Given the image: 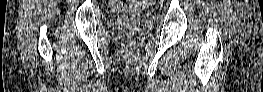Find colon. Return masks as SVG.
I'll return each mask as SVG.
<instances>
[{"label":"colon","instance_id":"5ec220e1","mask_svg":"<svg viewBox=\"0 0 263 92\" xmlns=\"http://www.w3.org/2000/svg\"><path fill=\"white\" fill-rule=\"evenodd\" d=\"M112 5L116 6L117 8H121L123 6V2L121 1H112L111 2ZM125 38H126V42L129 43L132 38H133V32L130 28H127L125 30ZM125 50H128V45H126V47L124 48Z\"/></svg>","mask_w":263,"mask_h":92}]
</instances>
